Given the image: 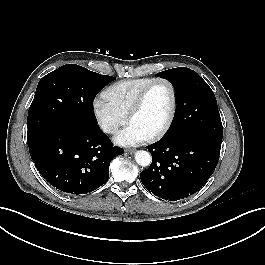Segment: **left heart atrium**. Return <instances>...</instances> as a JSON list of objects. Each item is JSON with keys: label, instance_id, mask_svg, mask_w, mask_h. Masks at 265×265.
<instances>
[{"label": "left heart atrium", "instance_id": "1", "mask_svg": "<svg viewBox=\"0 0 265 265\" xmlns=\"http://www.w3.org/2000/svg\"><path fill=\"white\" fill-rule=\"evenodd\" d=\"M148 135L134 124H129L115 137L116 144L121 146H135L148 139Z\"/></svg>", "mask_w": 265, "mask_h": 265}]
</instances>
